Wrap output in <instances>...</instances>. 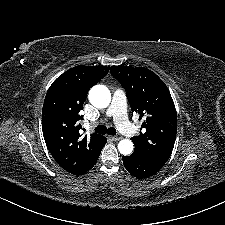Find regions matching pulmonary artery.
Instances as JSON below:
<instances>
[{"label":"pulmonary artery","mask_w":225,"mask_h":225,"mask_svg":"<svg viewBox=\"0 0 225 225\" xmlns=\"http://www.w3.org/2000/svg\"><path fill=\"white\" fill-rule=\"evenodd\" d=\"M106 114L108 117H113L123 132H128L129 122L126 116V96L120 89H116L113 94V99L109 105Z\"/></svg>","instance_id":"pulmonary-artery-1"}]
</instances>
